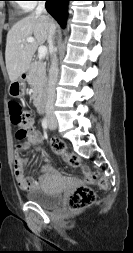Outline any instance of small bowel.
<instances>
[{
    "label": "small bowel",
    "instance_id": "obj_1",
    "mask_svg": "<svg viewBox=\"0 0 133 253\" xmlns=\"http://www.w3.org/2000/svg\"><path fill=\"white\" fill-rule=\"evenodd\" d=\"M42 137L39 132L33 131L32 135L26 141L16 146V159L14 163V173L18 186L26 191L39 188L45 181L43 177L30 178L24 172L25 160L20 157L21 153L27 152L32 146L41 143ZM43 171L52 173L53 170L49 165L43 167ZM85 181L92 183V176L88 171L84 172Z\"/></svg>",
    "mask_w": 133,
    "mask_h": 253
}]
</instances>
